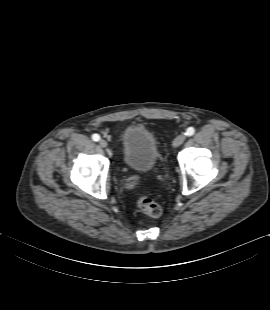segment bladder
I'll use <instances>...</instances> for the list:
<instances>
[{
    "label": "bladder",
    "instance_id": "obj_1",
    "mask_svg": "<svg viewBox=\"0 0 270 310\" xmlns=\"http://www.w3.org/2000/svg\"><path fill=\"white\" fill-rule=\"evenodd\" d=\"M160 152L154 134L144 126L131 125L122 134V161L128 168L148 172L155 168Z\"/></svg>",
    "mask_w": 270,
    "mask_h": 310
}]
</instances>
